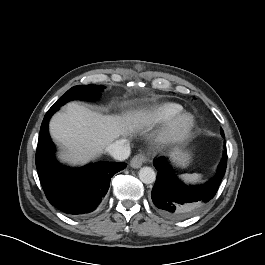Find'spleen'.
I'll return each instance as SVG.
<instances>
[{"mask_svg": "<svg viewBox=\"0 0 265 265\" xmlns=\"http://www.w3.org/2000/svg\"><path fill=\"white\" fill-rule=\"evenodd\" d=\"M179 178L183 180L186 184H196L201 181L202 175L197 173L193 174L185 173L179 175Z\"/></svg>", "mask_w": 265, "mask_h": 265, "instance_id": "1", "label": "spleen"}]
</instances>
